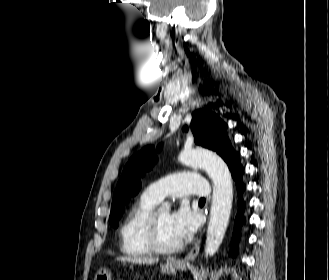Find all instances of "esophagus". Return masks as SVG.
I'll list each match as a JSON object with an SVG mask.
<instances>
[{
	"mask_svg": "<svg viewBox=\"0 0 329 280\" xmlns=\"http://www.w3.org/2000/svg\"><path fill=\"white\" fill-rule=\"evenodd\" d=\"M199 250H200V240L194 245V247L190 250V252L183 259H179L175 263L183 264L188 261L194 260L197 257Z\"/></svg>",
	"mask_w": 329,
	"mask_h": 280,
	"instance_id": "esophagus-1",
	"label": "esophagus"
}]
</instances>
